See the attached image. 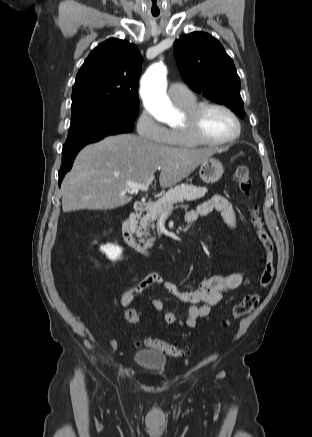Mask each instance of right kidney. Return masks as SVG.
Instances as JSON below:
<instances>
[{
    "instance_id": "1",
    "label": "right kidney",
    "mask_w": 312,
    "mask_h": 437,
    "mask_svg": "<svg viewBox=\"0 0 312 437\" xmlns=\"http://www.w3.org/2000/svg\"><path fill=\"white\" fill-rule=\"evenodd\" d=\"M101 250L107 255L111 260H117L120 258L122 249L119 246L112 244H107L101 247Z\"/></svg>"
}]
</instances>
